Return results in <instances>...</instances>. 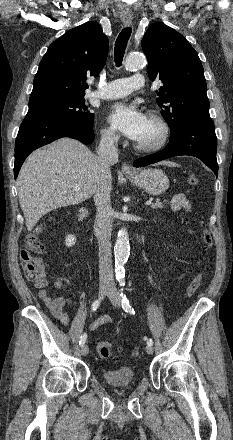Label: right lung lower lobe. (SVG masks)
<instances>
[{
	"instance_id": "obj_1",
	"label": "right lung lower lobe",
	"mask_w": 233,
	"mask_h": 440,
	"mask_svg": "<svg viewBox=\"0 0 233 440\" xmlns=\"http://www.w3.org/2000/svg\"><path fill=\"white\" fill-rule=\"evenodd\" d=\"M62 137H70L83 144H90L94 141V132L92 128L74 120L50 114H27L15 143V178L24 160L32 151Z\"/></svg>"
}]
</instances>
